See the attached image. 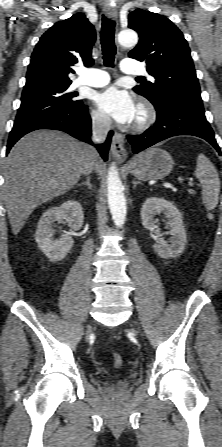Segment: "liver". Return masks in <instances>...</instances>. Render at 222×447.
Here are the masks:
<instances>
[{
  "label": "liver",
  "instance_id": "6515ba94",
  "mask_svg": "<svg viewBox=\"0 0 222 447\" xmlns=\"http://www.w3.org/2000/svg\"><path fill=\"white\" fill-rule=\"evenodd\" d=\"M104 165L89 145L59 131L21 138L4 165V200L14 235L39 205L65 194L82 175Z\"/></svg>",
  "mask_w": 222,
  "mask_h": 447
}]
</instances>
